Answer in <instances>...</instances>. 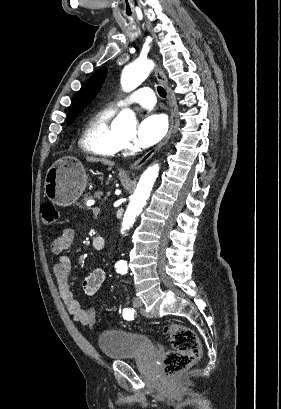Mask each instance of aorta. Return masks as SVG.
<instances>
[{
  "instance_id": "762f6f07",
  "label": "aorta",
  "mask_w": 281,
  "mask_h": 409,
  "mask_svg": "<svg viewBox=\"0 0 281 409\" xmlns=\"http://www.w3.org/2000/svg\"><path fill=\"white\" fill-rule=\"evenodd\" d=\"M154 63L148 59L137 60L126 66L122 72L121 85L124 91L130 92L137 88L149 75ZM113 127L118 131H133L136 128V117L133 111L125 109L116 117ZM159 166L155 164L148 167L141 175L139 183L131 196L130 203L125 212L122 227L128 228L135 222L146 201L158 176Z\"/></svg>"
}]
</instances>
